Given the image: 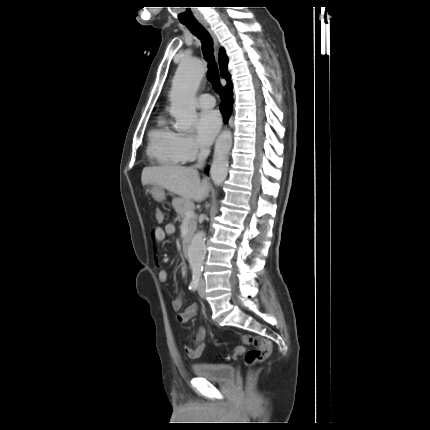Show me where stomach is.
I'll return each instance as SVG.
<instances>
[{
	"label": "stomach",
	"instance_id": "obj_1",
	"mask_svg": "<svg viewBox=\"0 0 430 430\" xmlns=\"http://www.w3.org/2000/svg\"><path fill=\"white\" fill-rule=\"evenodd\" d=\"M151 185L152 188L149 191L152 194V197L157 201H163L165 199L164 188L156 184Z\"/></svg>",
	"mask_w": 430,
	"mask_h": 430
}]
</instances>
